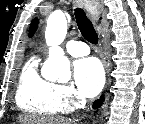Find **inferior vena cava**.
I'll use <instances>...</instances> for the list:
<instances>
[{"label":"inferior vena cava","mask_w":145,"mask_h":124,"mask_svg":"<svg viewBox=\"0 0 145 124\" xmlns=\"http://www.w3.org/2000/svg\"><path fill=\"white\" fill-rule=\"evenodd\" d=\"M85 102H86V101H85V100H83L82 104H85Z\"/></svg>","instance_id":"602c4592"}]
</instances>
